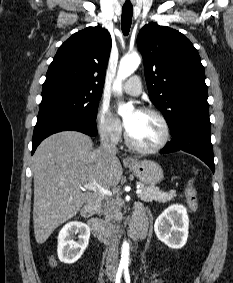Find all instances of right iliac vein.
Returning <instances> with one entry per match:
<instances>
[{
    "mask_svg": "<svg viewBox=\"0 0 233 283\" xmlns=\"http://www.w3.org/2000/svg\"><path fill=\"white\" fill-rule=\"evenodd\" d=\"M109 278H110V280H112L113 279V274H110Z\"/></svg>",
    "mask_w": 233,
    "mask_h": 283,
    "instance_id": "obj_1",
    "label": "right iliac vein"
}]
</instances>
